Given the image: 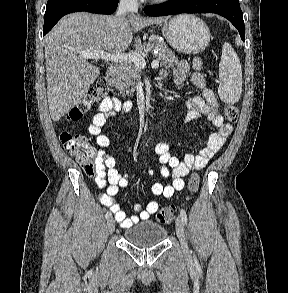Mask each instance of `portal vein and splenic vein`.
<instances>
[{
    "mask_svg": "<svg viewBox=\"0 0 288 293\" xmlns=\"http://www.w3.org/2000/svg\"><path fill=\"white\" fill-rule=\"evenodd\" d=\"M82 57L87 59H101L110 62H133L140 68H144L146 66L145 58L139 53H108L103 50L99 51H91V52H82ZM152 67H158L159 61L153 60L151 63Z\"/></svg>",
    "mask_w": 288,
    "mask_h": 293,
    "instance_id": "portal-vein-and-splenic-vein-1",
    "label": "portal vein and splenic vein"
}]
</instances>
